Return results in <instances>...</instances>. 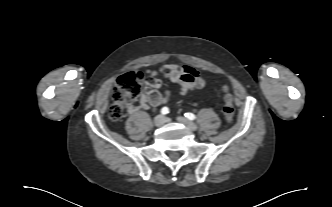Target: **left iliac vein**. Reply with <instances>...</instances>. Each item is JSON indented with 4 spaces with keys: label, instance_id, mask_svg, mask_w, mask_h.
I'll return each mask as SVG.
<instances>
[{
    "label": "left iliac vein",
    "instance_id": "left-iliac-vein-1",
    "mask_svg": "<svg viewBox=\"0 0 332 207\" xmlns=\"http://www.w3.org/2000/svg\"><path fill=\"white\" fill-rule=\"evenodd\" d=\"M178 122L182 123L183 125L187 126L190 130L196 131L197 125L192 121L186 119L185 117H177Z\"/></svg>",
    "mask_w": 332,
    "mask_h": 207
}]
</instances>
